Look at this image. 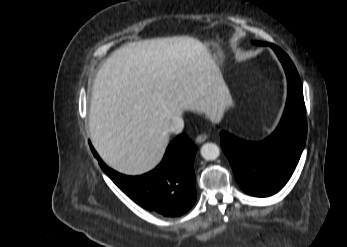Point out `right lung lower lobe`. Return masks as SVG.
I'll use <instances>...</instances> for the list:
<instances>
[{
	"label": "right lung lower lobe",
	"instance_id": "right-lung-lower-lobe-1",
	"mask_svg": "<svg viewBox=\"0 0 347 247\" xmlns=\"http://www.w3.org/2000/svg\"><path fill=\"white\" fill-rule=\"evenodd\" d=\"M91 149L103 171L143 208L174 217L184 214L195 203L194 157L197 147L185 134H180L170 143L154 170L135 177L112 170L92 146Z\"/></svg>",
	"mask_w": 347,
	"mask_h": 247
}]
</instances>
